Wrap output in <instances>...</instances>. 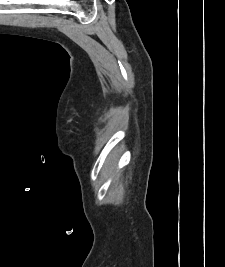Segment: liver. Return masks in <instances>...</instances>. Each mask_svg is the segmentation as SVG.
Here are the masks:
<instances>
[{
  "label": "liver",
  "instance_id": "6515ba94",
  "mask_svg": "<svg viewBox=\"0 0 225 267\" xmlns=\"http://www.w3.org/2000/svg\"><path fill=\"white\" fill-rule=\"evenodd\" d=\"M114 156H115V154L112 157H114ZM108 164H110V161H108Z\"/></svg>",
  "mask_w": 225,
  "mask_h": 267
}]
</instances>
